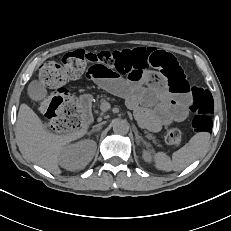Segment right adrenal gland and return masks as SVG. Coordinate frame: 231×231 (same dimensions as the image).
I'll return each mask as SVG.
<instances>
[{"mask_svg":"<svg viewBox=\"0 0 231 231\" xmlns=\"http://www.w3.org/2000/svg\"><path fill=\"white\" fill-rule=\"evenodd\" d=\"M101 129V127H98V128H94L92 129L88 134H92L93 132H96V131H99Z\"/></svg>","mask_w":231,"mask_h":231,"instance_id":"obj_1","label":"right adrenal gland"}]
</instances>
